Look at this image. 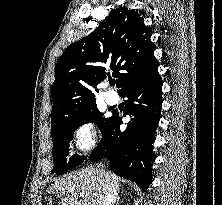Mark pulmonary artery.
<instances>
[{
    "label": "pulmonary artery",
    "instance_id": "e3ab8cb5",
    "mask_svg": "<svg viewBox=\"0 0 222 205\" xmlns=\"http://www.w3.org/2000/svg\"><path fill=\"white\" fill-rule=\"evenodd\" d=\"M104 98H105V100H106V102L108 104L113 105V104H115L117 102V98L118 97H117V95L114 92L106 91L104 93Z\"/></svg>",
    "mask_w": 222,
    "mask_h": 205
}]
</instances>
